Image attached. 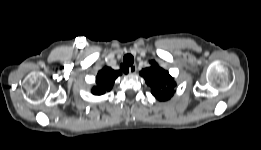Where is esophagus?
<instances>
[{"label":"esophagus","mask_w":261,"mask_h":150,"mask_svg":"<svg viewBox=\"0 0 261 150\" xmlns=\"http://www.w3.org/2000/svg\"><path fill=\"white\" fill-rule=\"evenodd\" d=\"M136 71H137L136 65H131V66L129 67V73H130V74H135Z\"/></svg>","instance_id":"1"}]
</instances>
